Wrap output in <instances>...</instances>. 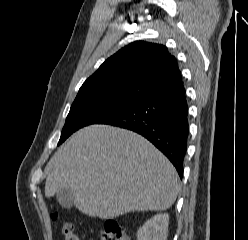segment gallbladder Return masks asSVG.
Masks as SVG:
<instances>
[{
  "label": "gallbladder",
  "mask_w": 248,
  "mask_h": 240,
  "mask_svg": "<svg viewBox=\"0 0 248 240\" xmlns=\"http://www.w3.org/2000/svg\"><path fill=\"white\" fill-rule=\"evenodd\" d=\"M56 198L63 208L69 209L73 205L74 191L70 187L62 188L56 192Z\"/></svg>",
  "instance_id": "1"
}]
</instances>
